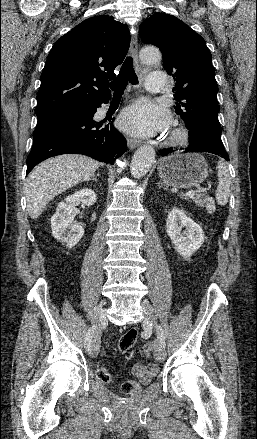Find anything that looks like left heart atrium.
I'll use <instances>...</instances> for the list:
<instances>
[{"label": "left heart atrium", "instance_id": "39dd6f15", "mask_svg": "<svg viewBox=\"0 0 257 439\" xmlns=\"http://www.w3.org/2000/svg\"><path fill=\"white\" fill-rule=\"evenodd\" d=\"M123 130L141 137H152L167 131L170 113L158 104L141 100L126 108L120 116Z\"/></svg>", "mask_w": 257, "mask_h": 439}]
</instances>
